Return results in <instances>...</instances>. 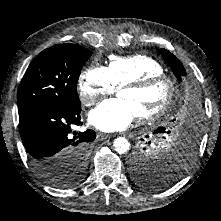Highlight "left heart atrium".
<instances>
[{
    "label": "left heart atrium",
    "mask_w": 221,
    "mask_h": 221,
    "mask_svg": "<svg viewBox=\"0 0 221 221\" xmlns=\"http://www.w3.org/2000/svg\"><path fill=\"white\" fill-rule=\"evenodd\" d=\"M135 117L130 105L121 98L104 100L89 113L90 123L104 132L123 130Z\"/></svg>",
    "instance_id": "39dd6f15"
}]
</instances>
